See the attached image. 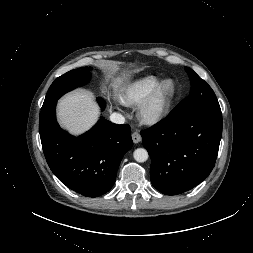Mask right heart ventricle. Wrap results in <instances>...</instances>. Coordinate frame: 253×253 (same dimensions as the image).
I'll return each instance as SVG.
<instances>
[{
	"label": "right heart ventricle",
	"mask_w": 253,
	"mask_h": 253,
	"mask_svg": "<svg viewBox=\"0 0 253 253\" xmlns=\"http://www.w3.org/2000/svg\"><path fill=\"white\" fill-rule=\"evenodd\" d=\"M160 78L147 75L129 82L120 93V100L130 106L141 104L159 84Z\"/></svg>",
	"instance_id": "e07e8e85"
}]
</instances>
